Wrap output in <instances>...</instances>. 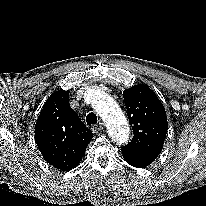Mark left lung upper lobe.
Wrapping results in <instances>:
<instances>
[{
  "mask_svg": "<svg viewBox=\"0 0 206 206\" xmlns=\"http://www.w3.org/2000/svg\"><path fill=\"white\" fill-rule=\"evenodd\" d=\"M123 97L134 134L131 142L124 147L159 154L168 130L163 104L144 84L124 90Z\"/></svg>",
  "mask_w": 206,
  "mask_h": 206,
  "instance_id": "obj_1",
  "label": "left lung upper lobe"
}]
</instances>
